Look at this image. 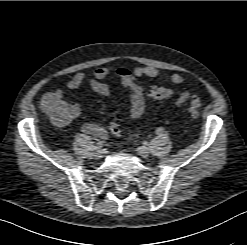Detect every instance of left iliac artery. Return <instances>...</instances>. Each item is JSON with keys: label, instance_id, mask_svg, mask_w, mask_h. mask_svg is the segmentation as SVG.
<instances>
[{"label": "left iliac artery", "instance_id": "44dca946", "mask_svg": "<svg viewBox=\"0 0 247 245\" xmlns=\"http://www.w3.org/2000/svg\"><path fill=\"white\" fill-rule=\"evenodd\" d=\"M164 133V128L163 127H159L156 129V134L157 135H162Z\"/></svg>", "mask_w": 247, "mask_h": 245}]
</instances>
